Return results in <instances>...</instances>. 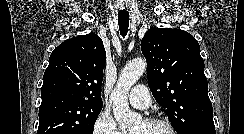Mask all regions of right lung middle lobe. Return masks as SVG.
Here are the masks:
<instances>
[{"mask_svg":"<svg viewBox=\"0 0 244 134\" xmlns=\"http://www.w3.org/2000/svg\"><path fill=\"white\" fill-rule=\"evenodd\" d=\"M102 105L65 99L42 102L37 134H93Z\"/></svg>","mask_w":244,"mask_h":134,"instance_id":"right-lung-middle-lobe-1","label":"right lung middle lobe"}]
</instances>
